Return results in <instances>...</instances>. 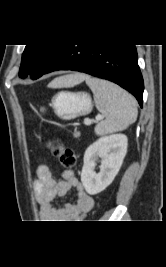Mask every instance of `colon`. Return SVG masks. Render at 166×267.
<instances>
[{
    "label": "colon",
    "instance_id": "colon-1",
    "mask_svg": "<svg viewBox=\"0 0 166 267\" xmlns=\"http://www.w3.org/2000/svg\"><path fill=\"white\" fill-rule=\"evenodd\" d=\"M53 154L59 157L61 164L67 169L74 168L77 163V157L70 148L59 146L53 151Z\"/></svg>",
    "mask_w": 166,
    "mask_h": 267
}]
</instances>
